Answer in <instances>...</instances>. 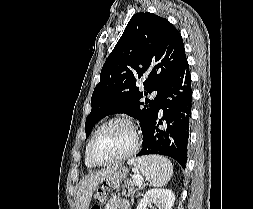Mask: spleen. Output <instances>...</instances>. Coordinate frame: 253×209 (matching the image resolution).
Masks as SVG:
<instances>
[{
    "instance_id": "3e777b00",
    "label": "spleen",
    "mask_w": 253,
    "mask_h": 209,
    "mask_svg": "<svg viewBox=\"0 0 253 209\" xmlns=\"http://www.w3.org/2000/svg\"><path fill=\"white\" fill-rule=\"evenodd\" d=\"M146 177L154 187L166 185L173 174V166L169 159L159 155H148L128 161Z\"/></svg>"
}]
</instances>
